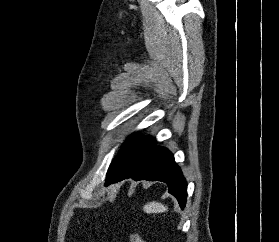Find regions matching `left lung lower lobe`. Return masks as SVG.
Segmentation results:
<instances>
[{
  "label": "left lung lower lobe",
  "instance_id": "left-lung-lower-lobe-1",
  "mask_svg": "<svg viewBox=\"0 0 279 242\" xmlns=\"http://www.w3.org/2000/svg\"><path fill=\"white\" fill-rule=\"evenodd\" d=\"M126 178L134 180L162 181L168 185L169 193L176 197L180 207H185L187 183L173 154L166 148L155 146L146 153L114 183Z\"/></svg>",
  "mask_w": 279,
  "mask_h": 242
}]
</instances>
